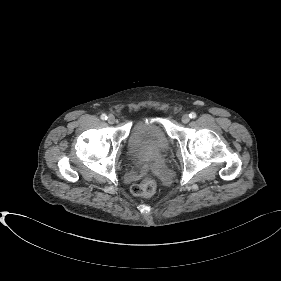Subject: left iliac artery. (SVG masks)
<instances>
[{"label": "left iliac artery", "mask_w": 281, "mask_h": 281, "mask_svg": "<svg viewBox=\"0 0 281 281\" xmlns=\"http://www.w3.org/2000/svg\"><path fill=\"white\" fill-rule=\"evenodd\" d=\"M196 113L195 112H191L190 114H189V117L190 118H192V119H194V118H196Z\"/></svg>", "instance_id": "44dca946"}]
</instances>
